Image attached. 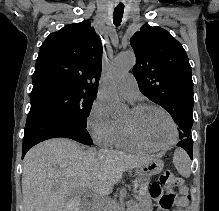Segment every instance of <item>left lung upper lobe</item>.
Segmentation results:
<instances>
[{
	"label": "left lung upper lobe",
	"instance_id": "left-lung-upper-lobe-1",
	"mask_svg": "<svg viewBox=\"0 0 219 211\" xmlns=\"http://www.w3.org/2000/svg\"><path fill=\"white\" fill-rule=\"evenodd\" d=\"M136 54L133 74L140 91L162 106L178 124L179 138L193 125L191 66L182 45L165 29L145 24L130 39Z\"/></svg>",
	"mask_w": 219,
	"mask_h": 211
}]
</instances>
